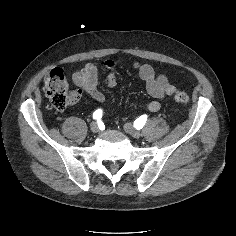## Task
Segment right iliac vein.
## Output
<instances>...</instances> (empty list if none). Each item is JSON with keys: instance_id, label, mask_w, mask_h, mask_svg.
<instances>
[{"instance_id": "1", "label": "right iliac vein", "mask_w": 236, "mask_h": 236, "mask_svg": "<svg viewBox=\"0 0 236 236\" xmlns=\"http://www.w3.org/2000/svg\"><path fill=\"white\" fill-rule=\"evenodd\" d=\"M90 129L93 133H98L99 132V127L96 122L91 123Z\"/></svg>"}]
</instances>
